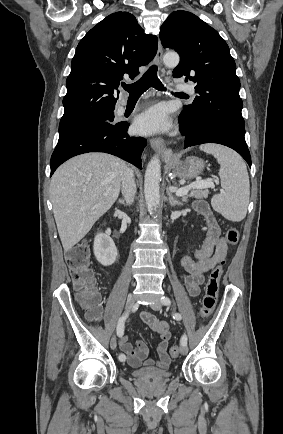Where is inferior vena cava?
I'll use <instances>...</instances> for the list:
<instances>
[{"instance_id": "obj_1", "label": "inferior vena cava", "mask_w": 283, "mask_h": 434, "mask_svg": "<svg viewBox=\"0 0 283 434\" xmlns=\"http://www.w3.org/2000/svg\"><path fill=\"white\" fill-rule=\"evenodd\" d=\"M136 190L134 173L131 169L127 168L122 178V194L127 204L130 205L134 202Z\"/></svg>"}]
</instances>
